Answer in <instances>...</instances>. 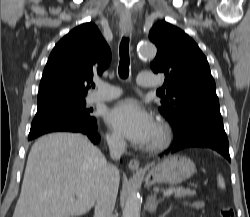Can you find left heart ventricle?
Instances as JSON below:
<instances>
[{"instance_id": "left-heart-ventricle-1", "label": "left heart ventricle", "mask_w": 250, "mask_h": 217, "mask_svg": "<svg viewBox=\"0 0 250 217\" xmlns=\"http://www.w3.org/2000/svg\"><path fill=\"white\" fill-rule=\"evenodd\" d=\"M156 134H157V131H156V128H155V131L153 133V136H152L151 140L149 141V144L155 140Z\"/></svg>"}]
</instances>
